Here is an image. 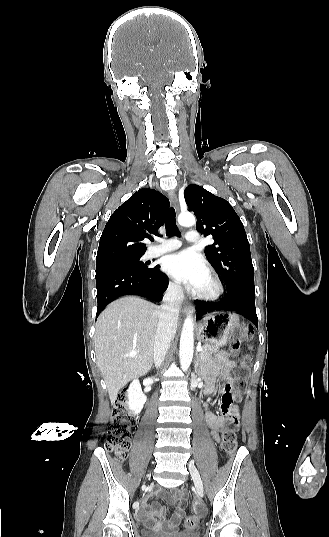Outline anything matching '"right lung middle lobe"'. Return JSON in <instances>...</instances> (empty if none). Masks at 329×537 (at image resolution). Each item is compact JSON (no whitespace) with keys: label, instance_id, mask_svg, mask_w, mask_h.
Instances as JSON below:
<instances>
[{"label":"right lung middle lobe","instance_id":"dd1d6c3e","mask_svg":"<svg viewBox=\"0 0 329 537\" xmlns=\"http://www.w3.org/2000/svg\"><path fill=\"white\" fill-rule=\"evenodd\" d=\"M148 263H143L141 257L130 258V259H121L109 261L101 265H96V269L100 267H119V268H129L138 271H149L151 267L148 266Z\"/></svg>","mask_w":329,"mask_h":537}]
</instances>
